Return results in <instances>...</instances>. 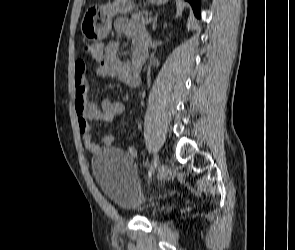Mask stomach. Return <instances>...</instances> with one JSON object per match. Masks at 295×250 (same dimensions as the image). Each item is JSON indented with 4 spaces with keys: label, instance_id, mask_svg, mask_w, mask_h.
<instances>
[{
    "label": "stomach",
    "instance_id": "0dacf381",
    "mask_svg": "<svg viewBox=\"0 0 295 250\" xmlns=\"http://www.w3.org/2000/svg\"><path fill=\"white\" fill-rule=\"evenodd\" d=\"M168 0H150L152 4L162 5ZM134 8L131 0H114L106 4H94L87 8L81 22V32L91 40L107 37L111 30L112 18L118 13H128Z\"/></svg>",
    "mask_w": 295,
    "mask_h": 250
}]
</instances>
